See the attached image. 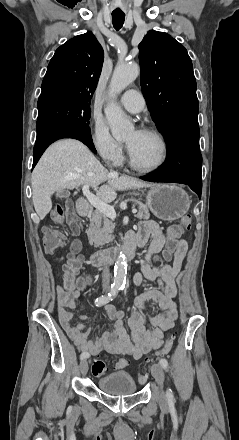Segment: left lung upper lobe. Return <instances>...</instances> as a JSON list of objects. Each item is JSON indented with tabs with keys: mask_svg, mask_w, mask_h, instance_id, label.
<instances>
[{
	"mask_svg": "<svg viewBox=\"0 0 239 440\" xmlns=\"http://www.w3.org/2000/svg\"><path fill=\"white\" fill-rule=\"evenodd\" d=\"M142 92L165 140L176 129L198 125V99L186 48L164 32L149 31L139 44Z\"/></svg>",
	"mask_w": 239,
	"mask_h": 440,
	"instance_id": "left-lung-upper-lobe-1",
	"label": "left lung upper lobe"
}]
</instances>
